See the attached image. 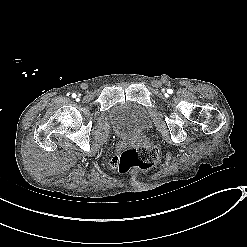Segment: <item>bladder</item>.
Segmentation results:
<instances>
[{
	"mask_svg": "<svg viewBox=\"0 0 247 247\" xmlns=\"http://www.w3.org/2000/svg\"><path fill=\"white\" fill-rule=\"evenodd\" d=\"M106 114L114 135L124 142L151 125L147 107L126 98L111 105Z\"/></svg>",
	"mask_w": 247,
	"mask_h": 247,
	"instance_id": "1",
	"label": "bladder"
}]
</instances>
